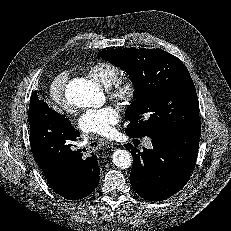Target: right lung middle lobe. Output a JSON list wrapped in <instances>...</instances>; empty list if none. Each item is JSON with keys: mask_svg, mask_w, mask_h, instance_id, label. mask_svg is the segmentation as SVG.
Listing matches in <instances>:
<instances>
[{"mask_svg": "<svg viewBox=\"0 0 231 231\" xmlns=\"http://www.w3.org/2000/svg\"><path fill=\"white\" fill-rule=\"evenodd\" d=\"M35 102H36V100H33V101L30 100L29 114H28V121H29V123H31L32 120H33V114H34V106L33 105L35 104Z\"/></svg>", "mask_w": 231, "mask_h": 231, "instance_id": "obj_1", "label": "right lung middle lobe"}]
</instances>
